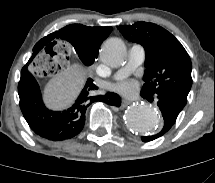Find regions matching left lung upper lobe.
Segmentation results:
<instances>
[{
    "mask_svg": "<svg viewBox=\"0 0 215 183\" xmlns=\"http://www.w3.org/2000/svg\"><path fill=\"white\" fill-rule=\"evenodd\" d=\"M123 36L145 49V73L142 93L165 94L183 105L191 89V60L181 43L164 28L147 22L118 26Z\"/></svg>",
    "mask_w": 215,
    "mask_h": 183,
    "instance_id": "left-lung-upper-lobe-1",
    "label": "left lung upper lobe"
}]
</instances>
